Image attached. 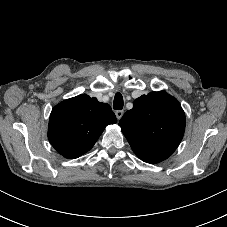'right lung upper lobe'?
Wrapping results in <instances>:
<instances>
[{
  "mask_svg": "<svg viewBox=\"0 0 227 227\" xmlns=\"http://www.w3.org/2000/svg\"><path fill=\"white\" fill-rule=\"evenodd\" d=\"M114 123L116 116L110 105L82 94L53 108L48 138L58 153L78 158L93 147L107 125Z\"/></svg>",
  "mask_w": 227,
  "mask_h": 227,
  "instance_id": "1",
  "label": "right lung upper lobe"
}]
</instances>
